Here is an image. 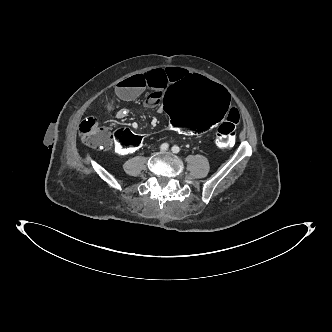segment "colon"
Returning <instances> with one entry per match:
<instances>
[{"label": "colon", "instance_id": "1", "mask_svg": "<svg viewBox=\"0 0 332 332\" xmlns=\"http://www.w3.org/2000/svg\"><path fill=\"white\" fill-rule=\"evenodd\" d=\"M234 109L235 100L230 90L200 74L182 77L164 98L165 115L173 131L175 128L198 134L219 126L216 136L219 147H231L236 141L238 115L233 113ZM79 135L85 145L103 148L112 155L132 156L141 147V138L135 132L118 123L107 129L94 117H87L80 123Z\"/></svg>", "mask_w": 332, "mask_h": 332}]
</instances>
